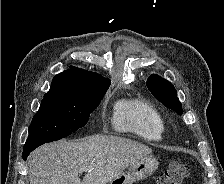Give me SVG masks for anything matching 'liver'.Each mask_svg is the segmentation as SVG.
<instances>
[{
  "instance_id": "1",
  "label": "liver",
  "mask_w": 224,
  "mask_h": 184,
  "mask_svg": "<svg viewBox=\"0 0 224 184\" xmlns=\"http://www.w3.org/2000/svg\"><path fill=\"white\" fill-rule=\"evenodd\" d=\"M152 149L137 141L111 136L60 140L35 149L28 159L30 184H107ZM82 168H87L83 181Z\"/></svg>"
}]
</instances>
